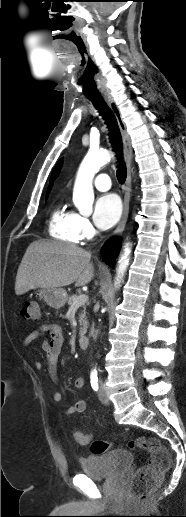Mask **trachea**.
<instances>
[{
  "label": "trachea",
  "mask_w": 186,
  "mask_h": 517,
  "mask_svg": "<svg viewBox=\"0 0 186 517\" xmlns=\"http://www.w3.org/2000/svg\"><path fill=\"white\" fill-rule=\"evenodd\" d=\"M95 106V108L98 110L100 115L103 116L105 119L106 124L108 125V128L110 129V139L112 144L115 147V151L118 152V156L121 159V149H120V132L118 123L116 120L115 115L113 114L112 110L108 107V105L105 103L103 98L101 96H86ZM122 163V161H120ZM127 172L124 164H120L117 169V179L119 183L123 184L126 180Z\"/></svg>",
  "instance_id": "obj_1"
}]
</instances>
